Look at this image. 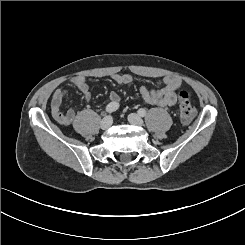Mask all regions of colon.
<instances>
[{
  "mask_svg": "<svg viewBox=\"0 0 245 245\" xmlns=\"http://www.w3.org/2000/svg\"><path fill=\"white\" fill-rule=\"evenodd\" d=\"M179 115L183 124L191 123L196 115V110L186 91L179 92Z\"/></svg>",
  "mask_w": 245,
  "mask_h": 245,
  "instance_id": "colon-1",
  "label": "colon"
}]
</instances>
